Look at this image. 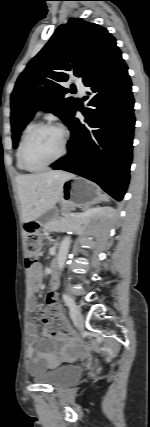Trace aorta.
I'll list each match as a JSON object with an SVG mask.
<instances>
[{
	"mask_svg": "<svg viewBox=\"0 0 150 427\" xmlns=\"http://www.w3.org/2000/svg\"><path fill=\"white\" fill-rule=\"evenodd\" d=\"M70 244H71V238L69 236L64 237L60 244L59 252L57 256V265L60 270L63 269L65 266V262L69 253Z\"/></svg>",
	"mask_w": 150,
	"mask_h": 427,
	"instance_id": "1",
	"label": "aorta"
}]
</instances>
